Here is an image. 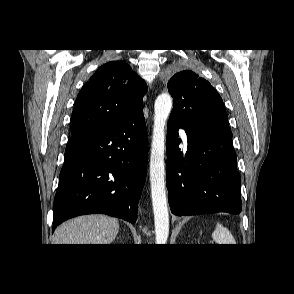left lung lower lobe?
I'll return each instance as SVG.
<instances>
[{"label": "left lung lower lobe", "instance_id": "left-lung-lower-lobe-1", "mask_svg": "<svg viewBox=\"0 0 294 294\" xmlns=\"http://www.w3.org/2000/svg\"><path fill=\"white\" fill-rule=\"evenodd\" d=\"M179 128L187 134L186 153L178 147ZM231 138V132L191 129L169 118L166 184L173 214L241 212L240 174Z\"/></svg>", "mask_w": 294, "mask_h": 294}]
</instances>
